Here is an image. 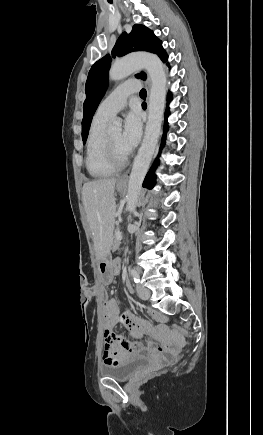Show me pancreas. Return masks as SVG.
Returning <instances> with one entry per match:
<instances>
[{"label": "pancreas", "instance_id": "1", "mask_svg": "<svg viewBox=\"0 0 263 435\" xmlns=\"http://www.w3.org/2000/svg\"><path fill=\"white\" fill-rule=\"evenodd\" d=\"M119 231V229H117L115 231V240H114V248L118 247L120 245V241L116 238V233Z\"/></svg>", "mask_w": 263, "mask_h": 435}]
</instances>
